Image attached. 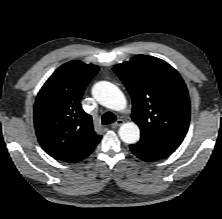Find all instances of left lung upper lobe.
Returning a JSON list of instances; mask_svg holds the SVG:
<instances>
[{"instance_id": "obj_1", "label": "left lung upper lobe", "mask_w": 222, "mask_h": 219, "mask_svg": "<svg viewBox=\"0 0 222 219\" xmlns=\"http://www.w3.org/2000/svg\"><path fill=\"white\" fill-rule=\"evenodd\" d=\"M113 70L132 98L131 117L140 127L141 138L177 148L190 121L189 95L178 72L147 55H137Z\"/></svg>"}]
</instances>
